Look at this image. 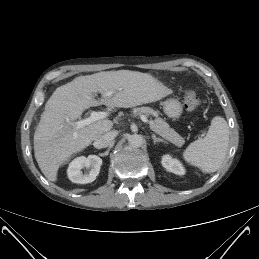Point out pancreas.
<instances>
[{"instance_id":"obj_1","label":"pancreas","mask_w":259,"mask_h":259,"mask_svg":"<svg viewBox=\"0 0 259 259\" xmlns=\"http://www.w3.org/2000/svg\"><path fill=\"white\" fill-rule=\"evenodd\" d=\"M134 111L139 114H145L146 116L153 115L155 119L149 121L150 128L177 147L183 146L185 140L174 129L170 128L167 122L158 116L157 111L150 107H139Z\"/></svg>"}]
</instances>
